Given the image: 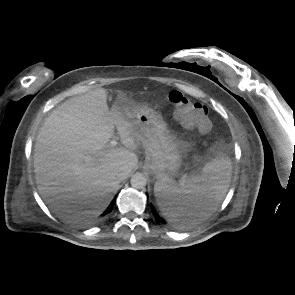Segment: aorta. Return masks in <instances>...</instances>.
Listing matches in <instances>:
<instances>
[{"label":"aorta","mask_w":295,"mask_h":295,"mask_svg":"<svg viewBox=\"0 0 295 295\" xmlns=\"http://www.w3.org/2000/svg\"><path fill=\"white\" fill-rule=\"evenodd\" d=\"M131 186L135 189H142L146 186L147 184V178L145 175H143L142 173H135L132 177H131Z\"/></svg>","instance_id":"obj_1"}]
</instances>
